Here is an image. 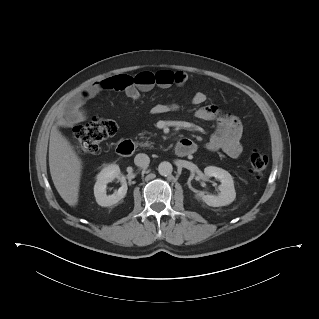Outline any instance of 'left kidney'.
<instances>
[{
    "instance_id": "left-kidney-1",
    "label": "left kidney",
    "mask_w": 319,
    "mask_h": 319,
    "mask_svg": "<svg viewBox=\"0 0 319 319\" xmlns=\"http://www.w3.org/2000/svg\"><path fill=\"white\" fill-rule=\"evenodd\" d=\"M204 173L208 177H215L220 180L219 185L220 193L218 196L205 195L203 192H197L196 198L201 199L207 205L212 207L226 206L231 204L236 198V192L234 188L233 178L228 171L215 167L208 166L204 169Z\"/></svg>"
}]
</instances>
